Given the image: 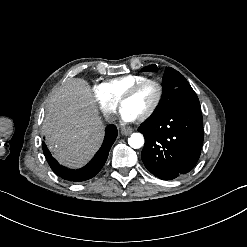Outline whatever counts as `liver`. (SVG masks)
<instances>
[{"label": "liver", "mask_w": 247, "mask_h": 247, "mask_svg": "<svg viewBox=\"0 0 247 247\" xmlns=\"http://www.w3.org/2000/svg\"><path fill=\"white\" fill-rule=\"evenodd\" d=\"M105 125L93 90L83 78H71L54 93L46 110L42 132L58 163L80 169L101 148Z\"/></svg>", "instance_id": "6515ba94"}]
</instances>
